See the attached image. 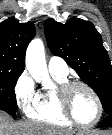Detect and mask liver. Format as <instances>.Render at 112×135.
Wrapping results in <instances>:
<instances>
[{
	"label": "liver",
	"instance_id": "obj_1",
	"mask_svg": "<svg viewBox=\"0 0 112 135\" xmlns=\"http://www.w3.org/2000/svg\"><path fill=\"white\" fill-rule=\"evenodd\" d=\"M0 135H73V133L39 122H13L7 113L0 111Z\"/></svg>",
	"mask_w": 112,
	"mask_h": 135
}]
</instances>
